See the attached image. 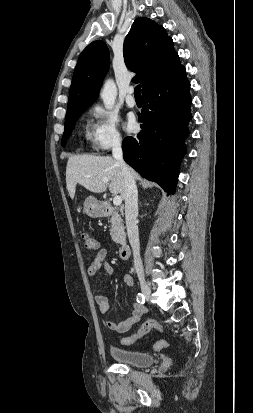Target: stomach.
Wrapping results in <instances>:
<instances>
[{"label": "stomach", "instance_id": "1", "mask_svg": "<svg viewBox=\"0 0 253 413\" xmlns=\"http://www.w3.org/2000/svg\"><path fill=\"white\" fill-rule=\"evenodd\" d=\"M84 212L92 218H98L104 214V208L95 197L89 196L84 202Z\"/></svg>", "mask_w": 253, "mask_h": 413}]
</instances>
